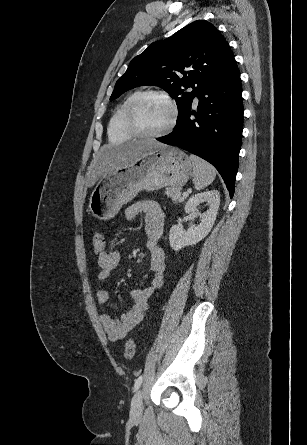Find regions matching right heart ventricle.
<instances>
[{"mask_svg":"<svg viewBox=\"0 0 307 445\" xmlns=\"http://www.w3.org/2000/svg\"><path fill=\"white\" fill-rule=\"evenodd\" d=\"M139 94L133 93L112 115L108 126V135L111 140H133L134 135L128 123V110Z\"/></svg>","mask_w":307,"mask_h":445,"instance_id":"1","label":"right heart ventricle"}]
</instances>
